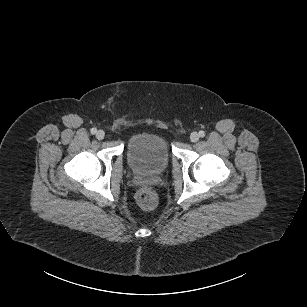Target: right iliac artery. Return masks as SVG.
Segmentation results:
<instances>
[{
    "mask_svg": "<svg viewBox=\"0 0 307 307\" xmlns=\"http://www.w3.org/2000/svg\"><path fill=\"white\" fill-rule=\"evenodd\" d=\"M96 132H97V129H96V128H92V129H91V133H92V134H96Z\"/></svg>",
    "mask_w": 307,
    "mask_h": 307,
    "instance_id": "1",
    "label": "right iliac artery"
}]
</instances>
